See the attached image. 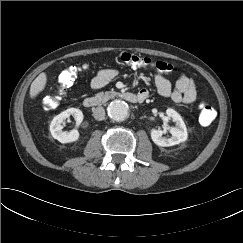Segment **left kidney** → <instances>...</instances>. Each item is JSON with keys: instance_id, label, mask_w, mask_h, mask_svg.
<instances>
[{"instance_id": "left-kidney-1", "label": "left kidney", "mask_w": 243, "mask_h": 243, "mask_svg": "<svg viewBox=\"0 0 243 243\" xmlns=\"http://www.w3.org/2000/svg\"><path fill=\"white\" fill-rule=\"evenodd\" d=\"M166 114L168 118L172 119L176 124V127L169 128V132L171 133L172 136L170 138H165L162 136L163 131L152 129L151 130L152 141L156 145L161 147L174 146L182 142H185L188 137L187 128L180 114L171 108H168L166 110Z\"/></svg>"}]
</instances>
